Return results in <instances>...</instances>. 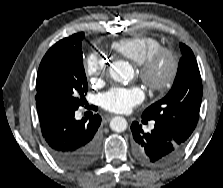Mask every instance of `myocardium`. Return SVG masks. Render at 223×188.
<instances>
[{
  "label": "myocardium",
  "instance_id": "f54148a6",
  "mask_svg": "<svg viewBox=\"0 0 223 188\" xmlns=\"http://www.w3.org/2000/svg\"><path fill=\"white\" fill-rule=\"evenodd\" d=\"M168 61L165 75L158 74L157 69L163 60ZM180 63L178 55L170 48L161 47L138 64L141 81L152 91L164 92L172 87L178 73Z\"/></svg>",
  "mask_w": 223,
  "mask_h": 188
}]
</instances>
